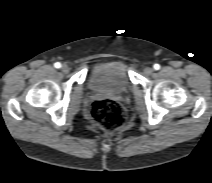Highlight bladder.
I'll use <instances>...</instances> for the list:
<instances>
[{"label":"bladder","instance_id":"obj_1","mask_svg":"<svg viewBox=\"0 0 212 183\" xmlns=\"http://www.w3.org/2000/svg\"><path fill=\"white\" fill-rule=\"evenodd\" d=\"M91 89L99 92L123 94L130 90L131 80L126 64L119 60L100 63L89 77Z\"/></svg>","mask_w":212,"mask_h":183}]
</instances>
